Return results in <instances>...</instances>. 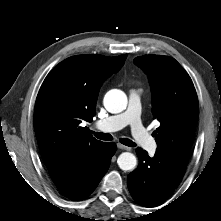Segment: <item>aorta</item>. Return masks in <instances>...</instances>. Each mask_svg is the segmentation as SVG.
Returning <instances> with one entry per match:
<instances>
[{
	"label": "aorta",
	"instance_id": "obj_1",
	"mask_svg": "<svg viewBox=\"0 0 221 221\" xmlns=\"http://www.w3.org/2000/svg\"><path fill=\"white\" fill-rule=\"evenodd\" d=\"M104 107L110 113H120L126 109L127 96L126 94L117 89L108 91L103 100ZM118 166L124 171L133 170L136 167L137 160L134 154L123 152L117 159Z\"/></svg>",
	"mask_w": 221,
	"mask_h": 221
}]
</instances>
